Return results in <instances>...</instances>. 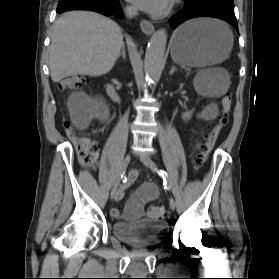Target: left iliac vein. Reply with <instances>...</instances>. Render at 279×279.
<instances>
[{
  "mask_svg": "<svg viewBox=\"0 0 279 279\" xmlns=\"http://www.w3.org/2000/svg\"><path fill=\"white\" fill-rule=\"evenodd\" d=\"M140 160H141V162H142L146 167L150 168L151 170H155V169H156L155 163H154L149 157H147V156H145V155H142V156L140 157ZM169 206H170V208H171L172 210H175V208H176V202H175V200H174L173 197H171L170 200H169Z\"/></svg>",
  "mask_w": 279,
  "mask_h": 279,
  "instance_id": "left-iliac-vein-1",
  "label": "left iliac vein"
}]
</instances>
